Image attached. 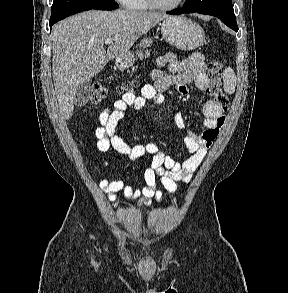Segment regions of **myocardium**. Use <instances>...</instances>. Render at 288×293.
Instances as JSON below:
<instances>
[{"label":"myocardium","mask_w":288,"mask_h":293,"mask_svg":"<svg viewBox=\"0 0 288 293\" xmlns=\"http://www.w3.org/2000/svg\"><path fill=\"white\" fill-rule=\"evenodd\" d=\"M150 7L162 10V11H170L179 7L183 0H175L172 4H160L156 0H146Z\"/></svg>","instance_id":"1"}]
</instances>
